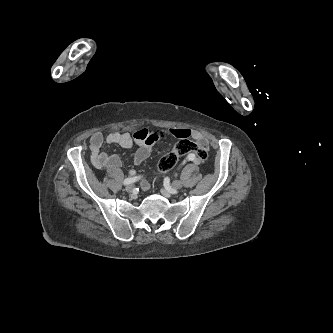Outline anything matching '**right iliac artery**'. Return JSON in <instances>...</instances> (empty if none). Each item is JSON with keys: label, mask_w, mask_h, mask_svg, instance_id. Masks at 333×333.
<instances>
[{"label": "right iliac artery", "mask_w": 333, "mask_h": 333, "mask_svg": "<svg viewBox=\"0 0 333 333\" xmlns=\"http://www.w3.org/2000/svg\"><path fill=\"white\" fill-rule=\"evenodd\" d=\"M139 179V177H129V178H126L124 181H123V184L124 185H129L135 181H137Z\"/></svg>", "instance_id": "right-iliac-artery-1"}]
</instances>
